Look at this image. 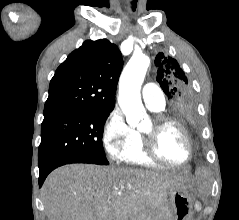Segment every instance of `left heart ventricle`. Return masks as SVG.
<instances>
[{"label":"left heart ventricle","instance_id":"left-heart-ventricle-1","mask_svg":"<svg viewBox=\"0 0 239 220\" xmlns=\"http://www.w3.org/2000/svg\"><path fill=\"white\" fill-rule=\"evenodd\" d=\"M151 127L150 120H146L140 129L147 131ZM157 148L160 154L174 162L184 161L187 157V146L181 132L174 126H167L157 135Z\"/></svg>","mask_w":239,"mask_h":220}]
</instances>
